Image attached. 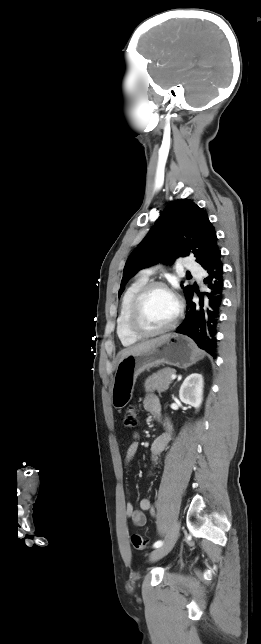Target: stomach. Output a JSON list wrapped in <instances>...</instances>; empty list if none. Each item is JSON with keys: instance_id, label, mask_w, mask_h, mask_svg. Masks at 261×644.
<instances>
[{"instance_id": "0dacf381", "label": "stomach", "mask_w": 261, "mask_h": 644, "mask_svg": "<svg viewBox=\"0 0 261 644\" xmlns=\"http://www.w3.org/2000/svg\"><path fill=\"white\" fill-rule=\"evenodd\" d=\"M203 357V352L190 338L176 334H170L165 342L148 351L125 357L118 363L113 379V407L121 409L130 402L136 379L144 370L163 364L185 369Z\"/></svg>"}]
</instances>
